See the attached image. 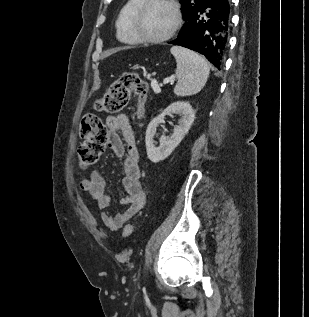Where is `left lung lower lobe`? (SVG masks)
<instances>
[{
  "label": "left lung lower lobe",
  "mask_w": 309,
  "mask_h": 317,
  "mask_svg": "<svg viewBox=\"0 0 309 317\" xmlns=\"http://www.w3.org/2000/svg\"><path fill=\"white\" fill-rule=\"evenodd\" d=\"M179 36L169 42L203 54L216 68L224 62L231 23L230 0H204L184 16Z\"/></svg>",
  "instance_id": "1"
}]
</instances>
